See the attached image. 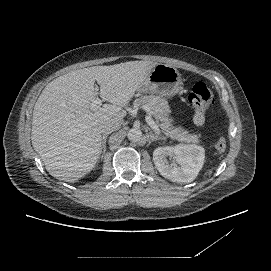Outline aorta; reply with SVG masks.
<instances>
[{"instance_id":"762f6f07","label":"aorta","mask_w":271,"mask_h":271,"mask_svg":"<svg viewBox=\"0 0 271 271\" xmlns=\"http://www.w3.org/2000/svg\"><path fill=\"white\" fill-rule=\"evenodd\" d=\"M127 137L131 142H140L142 139V131L138 128H132L128 131Z\"/></svg>"}]
</instances>
